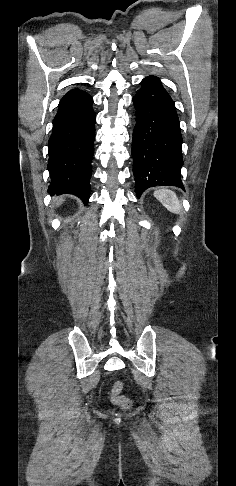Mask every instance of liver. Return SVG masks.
<instances>
[{"label": "liver", "instance_id": "1", "mask_svg": "<svg viewBox=\"0 0 236 486\" xmlns=\"http://www.w3.org/2000/svg\"><path fill=\"white\" fill-rule=\"evenodd\" d=\"M63 201H64V199H63V198H59V199L57 200V205L62 204V202H63Z\"/></svg>", "mask_w": 236, "mask_h": 486}]
</instances>
